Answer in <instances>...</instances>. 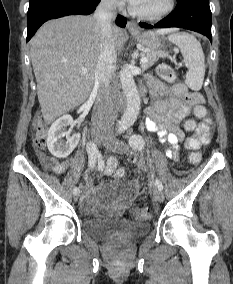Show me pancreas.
I'll use <instances>...</instances> for the list:
<instances>
[{"instance_id":"obj_1","label":"pancreas","mask_w":233,"mask_h":284,"mask_svg":"<svg viewBox=\"0 0 233 284\" xmlns=\"http://www.w3.org/2000/svg\"><path fill=\"white\" fill-rule=\"evenodd\" d=\"M168 56L166 51H148L146 52L147 62L141 63V68L143 71L149 69L154 63H156L159 58H165Z\"/></svg>"}]
</instances>
